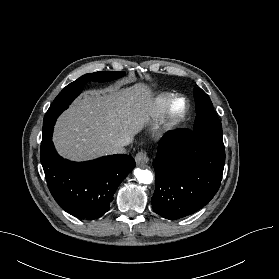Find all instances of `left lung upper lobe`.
Wrapping results in <instances>:
<instances>
[{
	"label": "left lung upper lobe",
	"instance_id": "left-lung-upper-lobe-1",
	"mask_svg": "<svg viewBox=\"0 0 279 279\" xmlns=\"http://www.w3.org/2000/svg\"><path fill=\"white\" fill-rule=\"evenodd\" d=\"M194 96L197 117L192 132L224 148L222 124L213 109L209 96L201 88L194 89Z\"/></svg>",
	"mask_w": 279,
	"mask_h": 279
}]
</instances>
